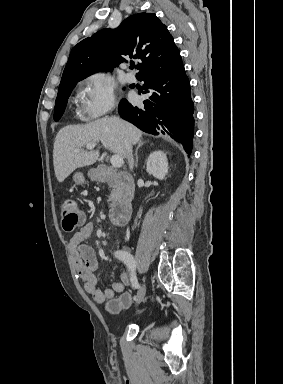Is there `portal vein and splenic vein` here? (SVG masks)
Masks as SVG:
<instances>
[{"label": "portal vein and splenic vein", "mask_w": 283, "mask_h": 384, "mask_svg": "<svg viewBox=\"0 0 283 384\" xmlns=\"http://www.w3.org/2000/svg\"><path fill=\"white\" fill-rule=\"evenodd\" d=\"M96 144H86V148L87 150H93V148H95ZM74 152H80L79 148L78 150H74ZM113 168H121V166H123L124 162H123V158H121V156H112L111 160H110Z\"/></svg>", "instance_id": "portal-vein-and-splenic-vein-1"}]
</instances>
